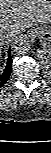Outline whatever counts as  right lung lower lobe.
<instances>
[{
	"label": "right lung lower lobe",
	"instance_id": "obj_1",
	"mask_svg": "<svg viewBox=\"0 0 51 153\" xmlns=\"http://www.w3.org/2000/svg\"><path fill=\"white\" fill-rule=\"evenodd\" d=\"M11 71H12V58H11V52L9 51L7 65L5 67L4 72L0 75V87L6 83V81L8 80L11 74Z\"/></svg>",
	"mask_w": 51,
	"mask_h": 153
}]
</instances>
